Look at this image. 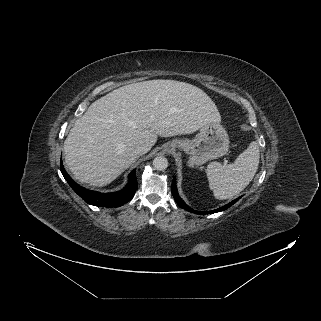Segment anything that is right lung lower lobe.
<instances>
[{"label":"right lung lower lobe","mask_w":321,"mask_h":321,"mask_svg":"<svg viewBox=\"0 0 321 321\" xmlns=\"http://www.w3.org/2000/svg\"><path fill=\"white\" fill-rule=\"evenodd\" d=\"M60 169L65 180L68 182L71 188L85 202L94 206L107 207V208L119 207L133 198L138 187L137 179H136V170H133L129 174V182L121 191L114 192V193H100V192L85 189L80 185H78L75 181H73V179L65 171L62 164V160L60 164Z\"/></svg>","instance_id":"98d812e1"}]
</instances>
